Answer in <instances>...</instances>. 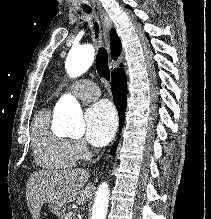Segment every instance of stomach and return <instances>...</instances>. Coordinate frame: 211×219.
Listing matches in <instances>:
<instances>
[{
	"label": "stomach",
	"instance_id": "obj_1",
	"mask_svg": "<svg viewBox=\"0 0 211 219\" xmlns=\"http://www.w3.org/2000/svg\"><path fill=\"white\" fill-rule=\"evenodd\" d=\"M49 210L56 216L61 217L64 214V207L57 204H49Z\"/></svg>",
	"mask_w": 211,
	"mask_h": 219
}]
</instances>
